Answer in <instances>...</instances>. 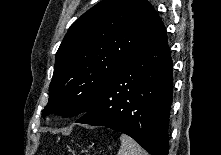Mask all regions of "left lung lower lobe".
I'll return each mask as SVG.
<instances>
[{
  "mask_svg": "<svg viewBox=\"0 0 221 155\" xmlns=\"http://www.w3.org/2000/svg\"><path fill=\"white\" fill-rule=\"evenodd\" d=\"M172 84V59L160 19L76 123L109 127L129 135L151 155H168Z\"/></svg>",
  "mask_w": 221,
  "mask_h": 155,
  "instance_id": "left-lung-lower-lobe-1",
  "label": "left lung lower lobe"
}]
</instances>
